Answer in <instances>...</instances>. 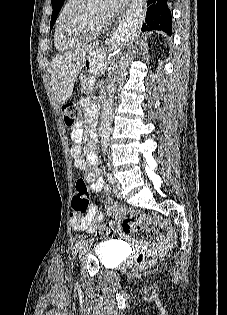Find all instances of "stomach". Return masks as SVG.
Returning <instances> with one entry per match:
<instances>
[{"label": "stomach", "mask_w": 227, "mask_h": 315, "mask_svg": "<svg viewBox=\"0 0 227 315\" xmlns=\"http://www.w3.org/2000/svg\"><path fill=\"white\" fill-rule=\"evenodd\" d=\"M93 55H88L85 67L83 70V80L84 82H93V73L95 71V64L93 63Z\"/></svg>", "instance_id": "stomach-1"}]
</instances>
